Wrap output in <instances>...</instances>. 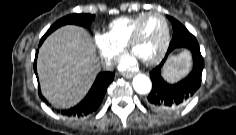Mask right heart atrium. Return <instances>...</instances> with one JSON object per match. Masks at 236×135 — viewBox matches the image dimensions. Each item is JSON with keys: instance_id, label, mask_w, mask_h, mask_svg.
I'll return each mask as SVG.
<instances>
[{"instance_id": "d8ad5b80", "label": "right heart atrium", "mask_w": 236, "mask_h": 135, "mask_svg": "<svg viewBox=\"0 0 236 135\" xmlns=\"http://www.w3.org/2000/svg\"><path fill=\"white\" fill-rule=\"evenodd\" d=\"M93 42L106 66L111 65L122 54V48L112 43L106 34L95 33Z\"/></svg>"}]
</instances>
